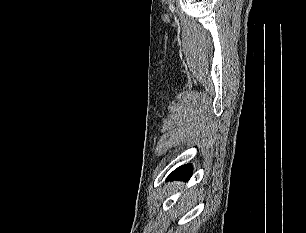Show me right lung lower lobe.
Here are the masks:
<instances>
[{
	"mask_svg": "<svg viewBox=\"0 0 306 233\" xmlns=\"http://www.w3.org/2000/svg\"><path fill=\"white\" fill-rule=\"evenodd\" d=\"M192 171L191 164L180 166L168 176L167 180H188L192 176Z\"/></svg>",
	"mask_w": 306,
	"mask_h": 233,
	"instance_id": "98d812e1",
	"label": "right lung lower lobe"
}]
</instances>
